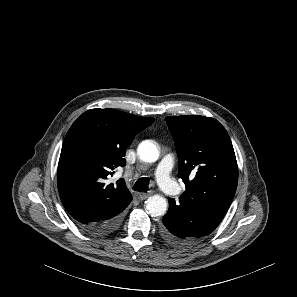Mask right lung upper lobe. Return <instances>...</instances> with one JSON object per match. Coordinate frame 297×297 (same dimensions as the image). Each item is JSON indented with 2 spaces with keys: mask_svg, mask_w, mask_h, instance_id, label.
Listing matches in <instances>:
<instances>
[{
  "mask_svg": "<svg viewBox=\"0 0 297 297\" xmlns=\"http://www.w3.org/2000/svg\"><path fill=\"white\" fill-rule=\"evenodd\" d=\"M154 120L97 108L72 124L62 145L57 184L63 205L79 225L102 221L129 205L132 197L124 181L108 184L107 179L125 166L127 147Z\"/></svg>",
  "mask_w": 297,
  "mask_h": 297,
  "instance_id": "obj_1",
  "label": "right lung upper lobe"
}]
</instances>
